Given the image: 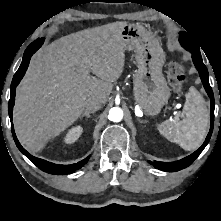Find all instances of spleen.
<instances>
[{
  "mask_svg": "<svg viewBox=\"0 0 221 221\" xmlns=\"http://www.w3.org/2000/svg\"><path fill=\"white\" fill-rule=\"evenodd\" d=\"M181 119L165 120L158 125L161 135L184 150H195L203 143L209 125V111L203 97L190 88Z\"/></svg>",
  "mask_w": 221,
  "mask_h": 221,
  "instance_id": "1",
  "label": "spleen"
}]
</instances>
